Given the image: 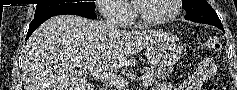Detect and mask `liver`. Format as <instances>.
Segmentation results:
<instances>
[{"instance_id":"obj_1","label":"liver","mask_w":237,"mask_h":90,"mask_svg":"<svg viewBox=\"0 0 237 90\" xmlns=\"http://www.w3.org/2000/svg\"><path fill=\"white\" fill-rule=\"evenodd\" d=\"M153 38L152 30L108 32L99 20L54 16L24 46V90H93L86 78L120 70L125 56L141 52Z\"/></svg>"}]
</instances>
